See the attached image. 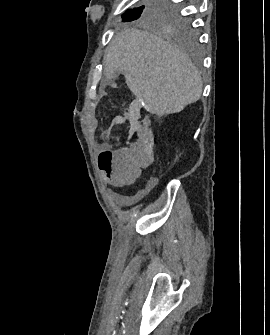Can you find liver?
I'll return each instance as SVG.
<instances>
[{
	"instance_id": "obj_1",
	"label": "liver",
	"mask_w": 270,
	"mask_h": 335,
	"mask_svg": "<svg viewBox=\"0 0 270 335\" xmlns=\"http://www.w3.org/2000/svg\"><path fill=\"white\" fill-rule=\"evenodd\" d=\"M104 74L123 72L126 84L145 110L156 116L177 114L202 94V78L176 46L157 34L124 28L104 56Z\"/></svg>"
}]
</instances>
